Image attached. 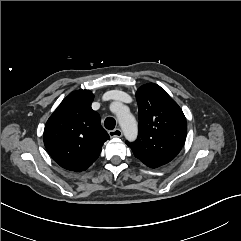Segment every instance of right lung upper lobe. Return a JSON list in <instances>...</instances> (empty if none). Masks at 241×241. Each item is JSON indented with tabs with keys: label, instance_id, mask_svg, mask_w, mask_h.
Returning <instances> with one entry per match:
<instances>
[{
	"label": "right lung upper lobe",
	"instance_id": "obj_1",
	"mask_svg": "<svg viewBox=\"0 0 241 241\" xmlns=\"http://www.w3.org/2000/svg\"><path fill=\"white\" fill-rule=\"evenodd\" d=\"M94 95L77 90L68 95L48 119L44 145L53 160L64 169L81 172L99 157L109 135L100 116L91 108Z\"/></svg>",
	"mask_w": 241,
	"mask_h": 241
}]
</instances>
